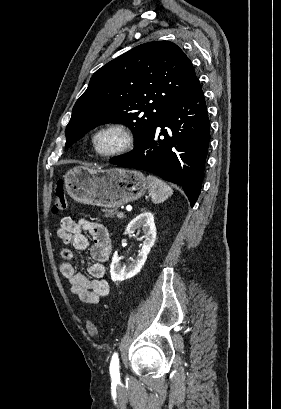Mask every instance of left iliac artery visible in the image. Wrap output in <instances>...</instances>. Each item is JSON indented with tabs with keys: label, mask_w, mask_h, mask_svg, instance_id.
<instances>
[{
	"label": "left iliac artery",
	"mask_w": 281,
	"mask_h": 409,
	"mask_svg": "<svg viewBox=\"0 0 281 409\" xmlns=\"http://www.w3.org/2000/svg\"><path fill=\"white\" fill-rule=\"evenodd\" d=\"M110 374L113 379H119V359L117 353H114L112 356Z\"/></svg>",
	"instance_id": "1"
}]
</instances>
